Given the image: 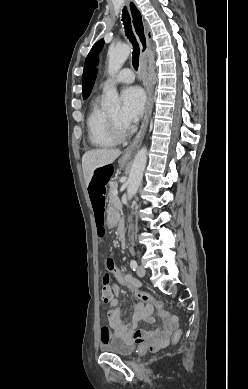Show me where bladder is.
<instances>
[{
  "mask_svg": "<svg viewBox=\"0 0 248 389\" xmlns=\"http://www.w3.org/2000/svg\"><path fill=\"white\" fill-rule=\"evenodd\" d=\"M100 349L103 353L117 354L120 356H131L135 353L136 348L128 344L125 340L118 337H111L110 340L102 343Z\"/></svg>",
  "mask_w": 248,
  "mask_h": 389,
  "instance_id": "31cf9c89",
  "label": "bladder"
}]
</instances>
